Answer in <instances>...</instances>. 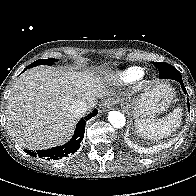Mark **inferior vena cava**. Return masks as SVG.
<instances>
[{"label": "inferior vena cava", "mask_w": 196, "mask_h": 196, "mask_svg": "<svg viewBox=\"0 0 196 196\" xmlns=\"http://www.w3.org/2000/svg\"><path fill=\"white\" fill-rule=\"evenodd\" d=\"M88 104L83 100H75L70 106V111L76 116H81L88 110Z\"/></svg>", "instance_id": "inferior-vena-cava-1"}]
</instances>
